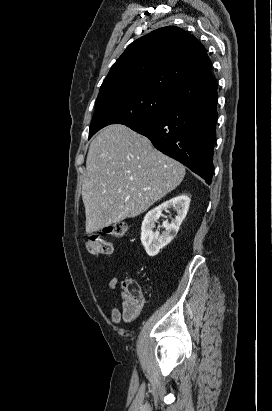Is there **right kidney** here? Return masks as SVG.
Masks as SVG:
<instances>
[{"label": "right kidney", "mask_w": 272, "mask_h": 411, "mask_svg": "<svg viewBox=\"0 0 272 411\" xmlns=\"http://www.w3.org/2000/svg\"><path fill=\"white\" fill-rule=\"evenodd\" d=\"M189 204L190 198L186 194H181L163 202L146 214L141 226V242L149 256L157 255L163 247L174 239L186 217ZM171 207L177 212L175 219L170 223L167 221L163 222L162 226L165 228V231L162 234H159L158 231L153 232L155 223L160 218L162 211Z\"/></svg>", "instance_id": "right-kidney-1"}]
</instances>
